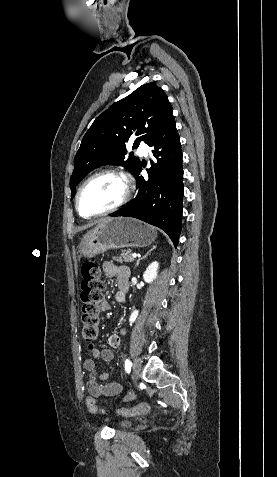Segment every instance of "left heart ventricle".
Segmentation results:
<instances>
[{
    "instance_id": "1",
    "label": "left heart ventricle",
    "mask_w": 277,
    "mask_h": 477,
    "mask_svg": "<svg viewBox=\"0 0 277 477\" xmlns=\"http://www.w3.org/2000/svg\"><path fill=\"white\" fill-rule=\"evenodd\" d=\"M124 193L121 179L112 175H103L92 180L83 190L80 207L83 213L93 214L115 205Z\"/></svg>"
}]
</instances>
